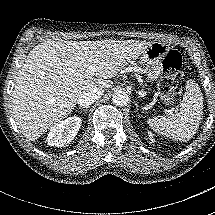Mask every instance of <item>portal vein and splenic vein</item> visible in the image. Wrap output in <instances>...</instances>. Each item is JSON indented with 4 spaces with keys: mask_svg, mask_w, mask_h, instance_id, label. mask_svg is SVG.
<instances>
[{
    "mask_svg": "<svg viewBox=\"0 0 215 215\" xmlns=\"http://www.w3.org/2000/svg\"><path fill=\"white\" fill-rule=\"evenodd\" d=\"M95 72H96V67H95V66L90 65V66L87 68V76L92 77V76H94ZM150 107H152V105H149V108H150Z\"/></svg>",
    "mask_w": 215,
    "mask_h": 215,
    "instance_id": "1",
    "label": "portal vein and splenic vein"
}]
</instances>
